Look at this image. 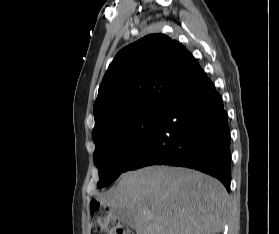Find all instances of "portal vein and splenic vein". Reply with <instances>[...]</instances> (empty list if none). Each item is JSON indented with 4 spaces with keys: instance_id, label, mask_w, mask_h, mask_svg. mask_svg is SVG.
Instances as JSON below:
<instances>
[{
    "instance_id": "18ae733b",
    "label": "portal vein and splenic vein",
    "mask_w": 279,
    "mask_h": 234,
    "mask_svg": "<svg viewBox=\"0 0 279 234\" xmlns=\"http://www.w3.org/2000/svg\"><path fill=\"white\" fill-rule=\"evenodd\" d=\"M147 218H150V215L147 214Z\"/></svg>"
}]
</instances>
